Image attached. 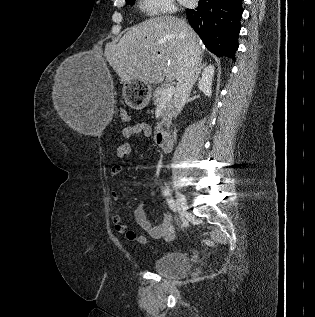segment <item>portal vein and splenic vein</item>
Returning <instances> with one entry per match:
<instances>
[{"label":"portal vein and splenic vein","mask_w":315,"mask_h":317,"mask_svg":"<svg viewBox=\"0 0 315 317\" xmlns=\"http://www.w3.org/2000/svg\"><path fill=\"white\" fill-rule=\"evenodd\" d=\"M175 93V88L173 86L167 87L164 91H163V97H162V102H165L167 100H170L172 98V96Z\"/></svg>","instance_id":"obj_1"}]
</instances>
